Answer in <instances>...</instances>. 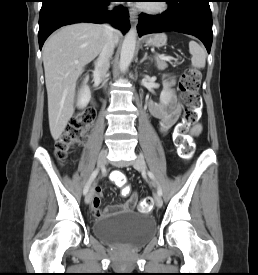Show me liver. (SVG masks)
<instances>
[{
	"instance_id": "6515ba94",
	"label": "liver",
	"mask_w": 258,
	"mask_h": 275,
	"mask_svg": "<svg viewBox=\"0 0 258 275\" xmlns=\"http://www.w3.org/2000/svg\"><path fill=\"white\" fill-rule=\"evenodd\" d=\"M116 43L120 32L115 31ZM104 28L93 23L68 25L51 35L43 47L50 133L57 140L74 113L76 83L84 68L102 50Z\"/></svg>"
}]
</instances>
